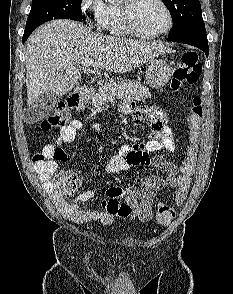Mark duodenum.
Returning a JSON list of instances; mask_svg holds the SVG:
<instances>
[{"label": "duodenum", "instance_id": "1", "mask_svg": "<svg viewBox=\"0 0 233 294\" xmlns=\"http://www.w3.org/2000/svg\"><path fill=\"white\" fill-rule=\"evenodd\" d=\"M89 92L90 90L88 88L76 89L67 99L68 108L70 110L77 109L89 94Z\"/></svg>", "mask_w": 233, "mask_h": 294}]
</instances>
